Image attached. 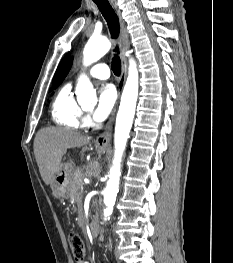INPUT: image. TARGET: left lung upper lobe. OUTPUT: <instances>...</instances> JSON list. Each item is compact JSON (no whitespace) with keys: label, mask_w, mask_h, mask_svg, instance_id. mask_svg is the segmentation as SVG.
<instances>
[{"label":"left lung upper lobe","mask_w":233,"mask_h":263,"mask_svg":"<svg viewBox=\"0 0 233 263\" xmlns=\"http://www.w3.org/2000/svg\"><path fill=\"white\" fill-rule=\"evenodd\" d=\"M64 60H65V59H63V60L61 61V63H60V65H59V67L62 65V63L64 62Z\"/></svg>","instance_id":"obj_1"}]
</instances>
